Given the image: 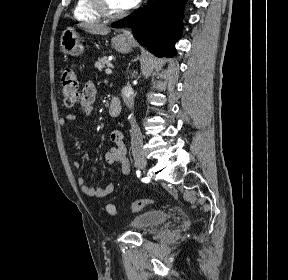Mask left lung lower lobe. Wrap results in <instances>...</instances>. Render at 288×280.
<instances>
[{"label": "left lung lower lobe", "mask_w": 288, "mask_h": 280, "mask_svg": "<svg viewBox=\"0 0 288 280\" xmlns=\"http://www.w3.org/2000/svg\"><path fill=\"white\" fill-rule=\"evenodd\" d=\"M185 0H162L148 3L120 21L115 27L132 26L138 42L159 56L172 57L175 54L174 44L182 30V15Z\"/></svg>", "instance_id": "left-lung-lower-lobe-1"}]
</instances>
